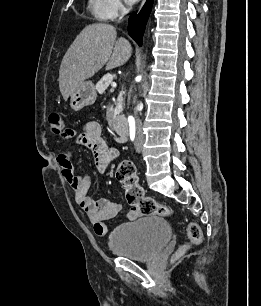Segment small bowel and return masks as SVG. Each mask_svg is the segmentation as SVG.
Here are the masks:
<instances>
[{
  "label": "small bowel",
  "mask_w": 261,
  "mask_h": 306,
  "mask_svg": "<svg viewBox=\"0 0 261 306\" xmlns=\"http://www.w3.org/2000/svg\"><path fill=\"white\" fill-rule=\"evenodd\" d=\"M75 135L74 131H70L68 137ZM77 141L92 152L97 171L101 174L105 173L115 158L116 151L105 142L100 125L93 121L86 123L81 133L77 135ZM72 159L73 151L70 149L63 150L57 156L61 174L74 192L76 204L85 212L87 218L93 224L96 235L104 237L109 233L106 222L118 214L120 205L107 198L94 200L89 197L91 178L87 173L76 174ZM137 216L138 212L134 208L126 214V218L129 220H133Z\"/></svg>",
  "instance_id": "obj_1"
}]
</instances>
